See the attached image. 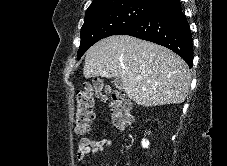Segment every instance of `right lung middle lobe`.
<instances>
[{
    "label": "right lung middle lobe",
    "instance_id": "dd1d6c3e",
    "mask_svg": "<svg viewBox=\"0 0 227 166\" xmlns=\"http://www.w3.org/2000/svg\"><path fill=\"white\" fill-rule=\"evenodd\" d=\"M153 9L151 5L128 2L87 12L81 28L78 59L97 41L119 34Z\"/></svg>",
    "mask_w": 227,
    "mask_h": 166
}]
</instances>
